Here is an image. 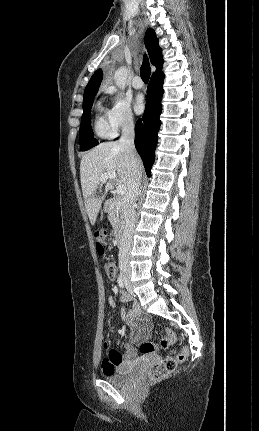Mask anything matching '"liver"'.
<instances>
[{
    "label": "liver",
    "instance_id": "1",
    "mask_svg": "<svg viewBox=\"0 0 259 431\" xmlns=\"http://www.w3.org/2000/svg\"><path fill=\"white\" fill-rule=\"evenodd\" d=\"M138 166L142 172V163L139 159ZM113 171L117 175V183L124 185L128 192L131 172L125 160L124 150L118 142H105L97 145L87 154L82 156L80 163V179L82 193L85 199V208L92 225L95 224L100 211L102 201L111 187L113 179L105 183V192L102 197H97V190L101 185L100 176Z\"/></svg>",
    "mask_w": 259,
    "mask_h": 431
}]
</instances>
